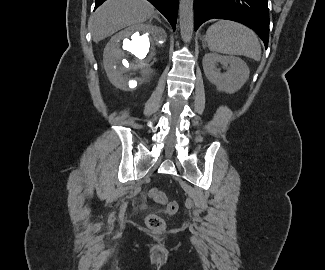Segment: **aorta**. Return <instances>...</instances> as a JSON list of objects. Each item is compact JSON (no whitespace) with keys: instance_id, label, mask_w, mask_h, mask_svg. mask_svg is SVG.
<instances>
[{"instance_id":"obj_1","label":"aorta","mask_w":325,"mask_h":270,"mask_svg":"<svg viewBox=\"0 0 325 270\" xmlns=\"http://www.w3.org/2000/svg\"><path fill=\"white\" fill-rule=\"evenodd\" d=\"M193 2L194 0H180L179 24L181 37L189 42L193 34Z\"/></svg>"}]
</instances>
